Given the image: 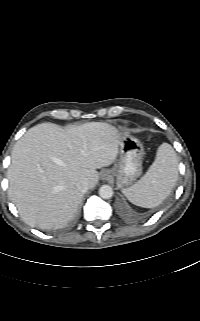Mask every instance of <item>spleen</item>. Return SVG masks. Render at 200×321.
<instances>
[{"label": "spleen", "mask_w": 200, "mask_h": 321, "mask_svg": "<svg viewBox=\"0 0 200 321\" xmlns=\"http://www.w3.org/2000/svg\"><path fill=\"white\" fill-rule=\"evenodd\" d=\"M177 180V154L170 144L162 143L144 176L132 186L124 188L122 193L134 205L153 208L170 195Z\"/></svg>", "instance_id": "1"}]
</instances>
